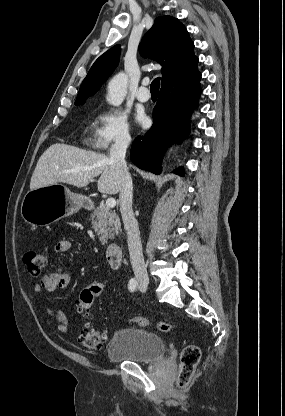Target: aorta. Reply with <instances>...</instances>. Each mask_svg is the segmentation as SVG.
Returning <instances> with one entry per match:
<instances>
[{
  "label": "aorta",
  "mask_w": 285,
  "mask_h": 416,
  "mask_svg": "<svg viewBox=\"0 0 285 416\" xmlns=\"http://www.w3.org/2000/svg\"><path fill=\"white\" fill-rule=\"evenodd\" d=\"M127 84L128 77L125 73L120 72L115 75L108 84L107 101L114 106H119L126 96Z\"/></svg>",
  "instance_id": "1"
}]
</instances>
